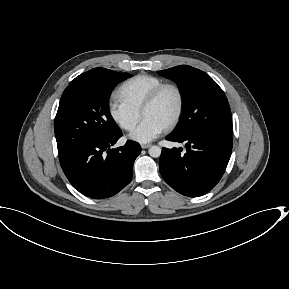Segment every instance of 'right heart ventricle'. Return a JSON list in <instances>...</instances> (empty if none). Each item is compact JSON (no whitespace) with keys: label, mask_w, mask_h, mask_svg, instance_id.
Returning a JSON list of instances; mask_svg holds the SVG:
<instances>
[{"label":"right heart ventricle","mask_w":289,"mask_h":289,"mask_svg":"<svg viewBox=\"0 0 289 289\" xmlns=\"http://www.w3.org/2000/svg\"><path fill=\"white\" fill-rule=\"evenodd\" d=\"M164 81L153 75L138 74L126 80L117 90L118 98L131 108L141 112L148 95Z\"/></svg>","instance_id":"right-heart-ventricle-1"}]
</instances>
